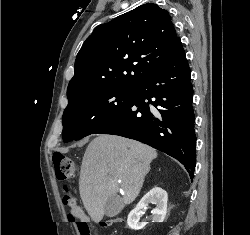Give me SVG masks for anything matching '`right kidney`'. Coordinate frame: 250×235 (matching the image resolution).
I'll return each mask as SVG.
<instances>
[{"instance_id": "ca27d5eb", "label": "right kidney", "mask_w": 250, "mask_h": 235, "mask_svg": "<svg viewBox=\"0 0 250 235\" xmlns=\"http://www.w3.org/2000/svg\"><path fill=\"white\" fill-rule=\"evenodd\" d=\"M168 194L165 190L155 186L143 196L137 206L129 213L127 218L128 226L133 230H140L145 223H140V210L148 207L149 203L154 204L155 208L151 211L153 222H163L167 211Z\"/></svg>"}]
</instances>
